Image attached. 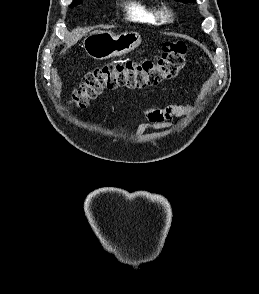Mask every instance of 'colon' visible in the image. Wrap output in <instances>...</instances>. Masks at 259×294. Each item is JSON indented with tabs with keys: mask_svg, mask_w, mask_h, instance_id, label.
Segmentation results:
<instances>
[{
	"mask_svg": "<svg viewBox=\"0 0 259 294\" xmlns=\"http://www.w3.org/2000/svg\"><path fill=\"white\" fill-rule=\"evenodd\" d=\"M186 52L184 42L168 41L163 45L162 54L157 61L126 60L96 68L86 74L73 93L71 103L83 108L105 89H141L173 79L185 66Z\"/></svg>",
	"mask_w": 259,
	"mask_h": 294,
	"instance_id": "colon-1",
	"label": "colon"
}]
</instances>
